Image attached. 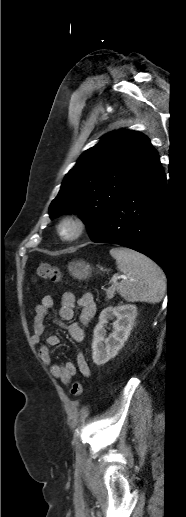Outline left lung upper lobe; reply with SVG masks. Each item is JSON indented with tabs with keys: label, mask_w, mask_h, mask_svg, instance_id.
<instances>
[{
	"label": "left lung upper lobe",
	"mask_w": 186,
	"mask_h": 517,
	"mask_svg": "<svg viewBox=\"0 0 186 517\" xmlns=\"http://www.w3.org/2000/svg\"><path fill=\"white\" fill-rule=\"evenodd\" d=\"M158 157L136 131L118 130L85 151L66 175L49 214L77 213L93 239L107 214Z\"/></svg>",
	"instance_id": "5c2ea615"
}]
</instances>
